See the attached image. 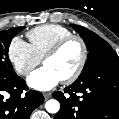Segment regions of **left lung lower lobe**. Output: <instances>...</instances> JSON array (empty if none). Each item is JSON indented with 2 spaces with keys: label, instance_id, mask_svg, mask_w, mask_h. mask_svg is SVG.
<instances>
[{
  "label": "left lung lower lobe",
  "instance_id": "left-lung-lower-lobe-1",
  "mask_svg": "<svg viewBox=\"0 0 119 119\" xmlns=\"http://www.w3.org/2000/svg\"><path fill=\"white\" fill-rule=\"evenodd\" d=\"M52 95L61 104L54 119H119V63L98 68Z\"/></svg>",
  "mask_w": 119,
  "mask_h": 119
}]
</instances>
